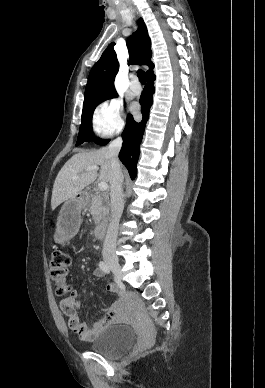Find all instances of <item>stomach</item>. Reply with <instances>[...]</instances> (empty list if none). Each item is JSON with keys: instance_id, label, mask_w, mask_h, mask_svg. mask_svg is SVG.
Wrapping results in <instances>:
<instances>
[{"instance_id": "stomach-1", "label": "stomach", "mask_w": 265, "mask_h": 388, "mask_svg": "<svg viewBox=\"0 0 265 388\" xmlns=\"http://www.w3.org/2000/svg\"><path fill=\"white\" fill-rule=\"evenodd\" d=\"M82 207L81 198H71L64 203L57 219L55 242L62 244L76 234L81 221Z\"/></svg>"}]
</instances>
